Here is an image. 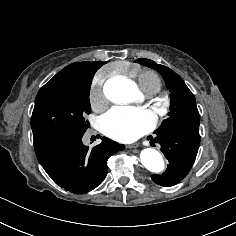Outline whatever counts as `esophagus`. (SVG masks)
<instances>
[{
	"instance_id": "obj_1",
	"label": "esophagus",
	"mask_w": 236,
	"mask_h": 236,
	"mask_svg": "<svg viewBox=\"0 0 236 236\" xmlns=\"http://www.w3.org/2000/svg\"><path fill=\"white\" fill-rule=\"evenodd\" d=\"M129 148H134V147H136L135 145H129L128 146Z\"/></svg>"
}]
</instances>
